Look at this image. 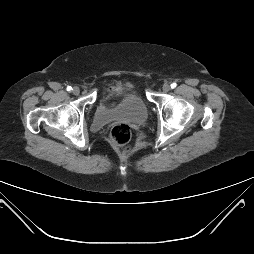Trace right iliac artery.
Listing matches in <instances>:
<instances>
[{
  "label": "right iliac artery",
  "mask_w": 254,
  "mask_h": 254,
  "mask_svg": "<svg viewBox=\"0 0 254 254\" xmlns=\"http://www.w3.org/2000/svg\"><path fill=\"white\" fill-rule=\"evenodd\" d=\"M71 90H72V87H70V86H69V87H67V91H69V92H70Z\"/></svg>",
  "instance_id": "1"
}]
</instances>
